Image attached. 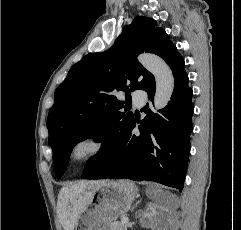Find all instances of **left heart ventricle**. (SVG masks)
Here are the masks:
<instances>
[{
    "instance_id": "left-heart-ventricle-1",
    "label": "left heart ventricle",
    "mask_w": 241,
    "mask_h": 230,
    "mask_svg": "<svg viewBox=\"0 0 241 230\" xmlns=\"http://www.w3.org/2000/svg\"><path fill=\"white\" fill-rule=\"evenodd\" d=\"M85 150H86V147L82 146L77 150L76 154L81 155Z\"/></svg>"
}]
</instances>
